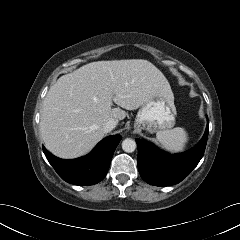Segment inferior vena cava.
<instances>
[{
	"label": "inferior vena cava",
	"instance_id": "obj_1",
	"mask_svg": "<svg viewBox=\"0 0 240 240\" xmlns=\"http://www.w3.org/2000/svg\"><path fill=\"white\" fill-rule=\"evenodd\" d=\"M117 123L115 119H109L103 124L102 129L105 133H108L116 127Z\"/></svg>",
	"mask_w": 240,
	"mask_h": 240
}]
</instances>
